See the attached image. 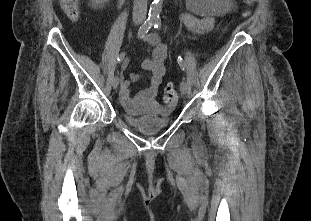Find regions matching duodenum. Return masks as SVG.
<instances>
[{
  "label": "duodenum",
  "mask_w": 311,
  "mask_h": 221,
  "mask_svg": "<svg viewBox=\"0 0 311 221\" xmlns=\"http://www.w3.org/2000/svg\"><path fill=\"white\" fill-rule=\"evenodd\" d=\"M120 2H124V0H119Z\"/></svg>",
  "instance_id": "duodenum-1"
}]
</instances>
